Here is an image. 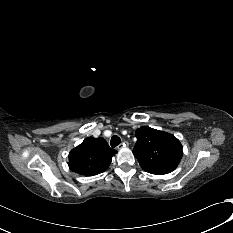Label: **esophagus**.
<instances>
[{
    "label": "esophagus",
    "mask_w": 233,
    "mask_h": 233,
    "mask_svg": "<svg viewBox=\"0 0 233 233\" xmlns=\"http://www.w3.org/2000/svg\"><path fill=\"white\" fill-rule=\"evenodd\" d=\"M126 147H128V142H127V141H125V142L119 144V145L117 146V149H118V150H122V149H124V148H126Z\"/></svg>",
    "instance_id": "1"
}]
</instances>
